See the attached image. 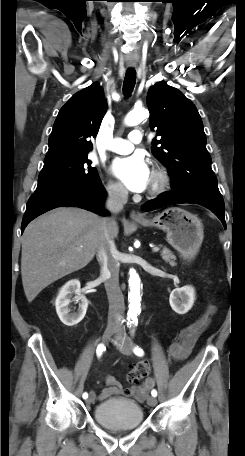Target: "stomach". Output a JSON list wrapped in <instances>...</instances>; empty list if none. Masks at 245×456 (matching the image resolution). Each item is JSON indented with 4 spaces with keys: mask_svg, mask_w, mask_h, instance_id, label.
<instances>
[{
    "mask_svg": "<svg viewBox=\"0 0 245 456\" xmlns=\"http://www.w3.org/2000/svg\"><path fill=\"white\" fill-rule=\"evenodd\" d=\"M137 223L165 231L168 243L186 260L196 256L204 238L201 220L177 207L165 209L154 218L141 219Z\"/></svg>",
    "mask_w": 245,
    "mask_h": 456,
    "instance_id": "0dacf381",
    "label": "stomach"
}]
</instances>
